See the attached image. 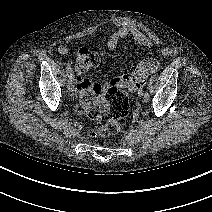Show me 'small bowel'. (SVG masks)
<instances>
[{"label":"small bowel","instance_id":"obj_1","mask_svg":"<svg viewBox=\"0 0 212 212\" xmlns=\"http://www.w3.org/2000/svg\"><path fill=\"white\" fill-rule=\"evenodd\" d=\"M111 34L109 35L106 47L109 51L115 50L119 44V41L124 38L131 37L135 43L146 48H152L155 46V41L143 33L132 22L125 20H112L109 23ZM85 46V44H82ZM57 51L61 55H67L69 48L65 45H60ZM174 54L173 49L164 47L160 51V55L163 57H171ZM160 68V61L155 58H145L139 62L136 68V74L141 76H147L148 74L155 73ZM131 91H135L134 88H129ZM80 96V91H79Z\"/></svg>","mask_w":212,"mask_h":212}]
</instances>
